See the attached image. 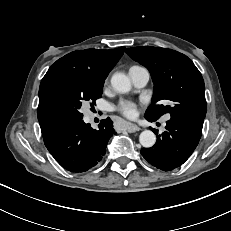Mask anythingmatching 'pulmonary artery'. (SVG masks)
Masks as SVG:
<instances>
[{"label": "pulmonary artery", "instance_id": "pulmonary-artery-1", "mask_svg": "<svg viewBox=\"0 0 231 231\" xmlns=\"http://www.w3.org/2000/svg\"><path fill=\"white\" fill-rule=\"evenodd\" d=\"M129 76L137 88H143L147 85L150 74L149 71L141 66H133L129 69ZM170 118V115H166L164 121H167Z\"/></svg>", "mask_w": 231, "mask_h": 231}]
</instances>
